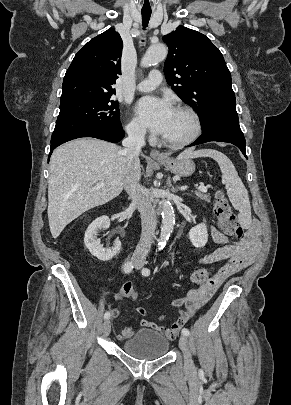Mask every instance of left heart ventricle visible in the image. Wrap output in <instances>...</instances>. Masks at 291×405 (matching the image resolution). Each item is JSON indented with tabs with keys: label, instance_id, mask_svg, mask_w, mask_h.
<instances>
[{
	"label": "left heart ventricle",
	"instance_id": "left-heart-ventricle-1",
	"mask_svg": "<svg viewBox=\"0 0 291 405\" xmlns=\"http://www.w3.org/2000/svg\"><path fill=\"white\" fill-rule=\"evenodd\" d=\"M193 125L190 117L182 111H173L168 128L163 136L170 140H180L186 138L192 131Z\"/></svg>",
	"mask_w": 291,
	"mask_h": 405
}]
</instances>
